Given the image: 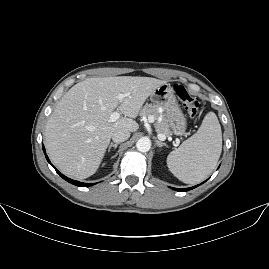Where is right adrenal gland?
<instances>
[{
    "instance_id": "1",
    "label": "right adrenal gland",
    "mask_w": 269,
    "mask_h": 269,
    "mask_svg": "<svg viewBox=\"0 0 269 269\" xmlns=\"http://www.w3.org/2000/svg\"><path fill=\"white\" fill-rule=\"evenodd\" d=\"M120 143H116V144H110V147L108 149V153H110L111 149L113 148V150H116L117 146L119 145ZM114 157H112L111 159H113Z\"/></svg>"
}]
</instances>
